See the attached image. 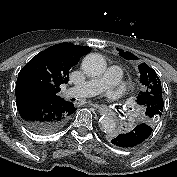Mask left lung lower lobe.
I'll list each match as a JSON object with an SVG mask.
<instances>
[{
	"label": "left lung lower lobe",
	"mask_w": 177,
	"mask_h": 177,
	"mask_svg": "<svg viewBox=\"0 0 177 177\" xmlns=\"http://www.w3.org/2000/svg\"><path fill=\"white\" fill-rule=\"evenodd\" d=\"M151 132L152 127L142 122L130 131L114 135L111 142L120 148H133L142 144L150 136Z\"/></svg>",
	"instance_id": "1"
}]
</instances>
